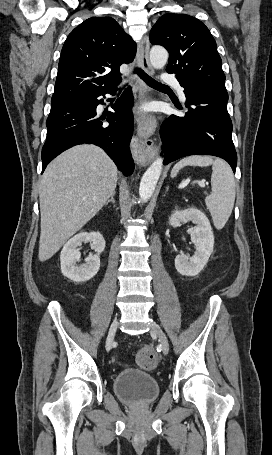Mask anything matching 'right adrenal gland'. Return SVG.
Returning <instances> with one entry per match:
<instances>
[{
	"label": "right adrenal gland",
	"instance_id": "2a0ac1e0",
	"mask_svg": "<svg viewBox=\"0 0 272 455\" xmlns=\"http://www.w3.org/2000/svg\"><path fill=\"white\" fill-rule=\"evenodd\" d=\"M114 196L115 192L111 195L110 199L105 203V205H108L110 202L114 204L115 203Z\"/></svg>",
	"mask_w": 272,
	"mask_h": 455
}]
</instances>
